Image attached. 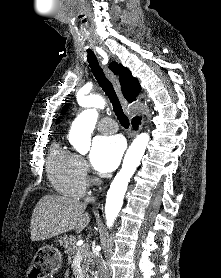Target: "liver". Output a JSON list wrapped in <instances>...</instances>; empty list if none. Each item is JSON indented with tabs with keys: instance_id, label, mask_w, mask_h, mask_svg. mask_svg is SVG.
<instances>
[{
	"instance_id": "6515ba94",
	"label": "liver",
	"mask_w": 221,
	"mask_h": 278,
	"mask_svg": "<svg viewBox=\"0 0 221 278\" xmlns=\"http://www.w3.org/2000/svg\"><path fill=\"white\" fill-rule=\"evenodd\" d=\"M86 203L60 196L45 195L31 216V241H43L75 229L76 233L90 222Z\"/></svg>"
}]
</instances>
